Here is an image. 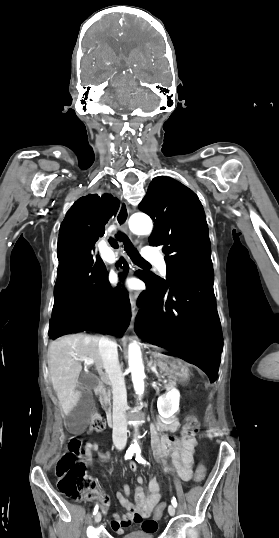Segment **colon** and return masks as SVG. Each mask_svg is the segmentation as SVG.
Segmentation results:
<instances>
[{"mask_svg":"<svg viewBox=\"0 0 279 538\" xmlns=\"http://www.w3.org/2000/svg\"><path fill=\"white\" fill-rule=\"evenodd\" d=\"M200 423L196 416H187L182 431V438L189 439L197 433ZM105 429V421L101 415L95 414L91 418L90 431L100 433ZM85 452L82 450L79 439H71L67 448L58 462L56 474L58 477L59 490L73 500H79L88 495L94 489V481L84 469L83 458ZM206 475V468L203 463H198L195 471V481L202 482ZM101 502L108 503V497L99 493ZM166 509V504H159L154 511V518L159 519Z\"/></svg>","mask_w":279,"mask_h":538,"instance_id":"colon-1","label":"colon"}]
</instances>
